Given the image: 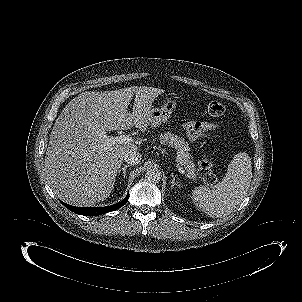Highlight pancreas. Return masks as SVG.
<instances>
[{"label": "pancreas", "mask_w": 302, "mask_h": 302, "mask_svg": "<svg viewBox=\"0 0 302 302\" xmlns=\"http://www.w3.org/2000/svg\"><path fill=\"white\" fill-rule=\"evenodd\" d=\"M160 143L174 147L178 155V164L185 168L187 175L191 179H195L197 177L198 169L195 167L193 157L189 152L190 147L185 139L170 132H165L160 135Z\"/></svg>", "instance_id": "1"}]
</instances>
